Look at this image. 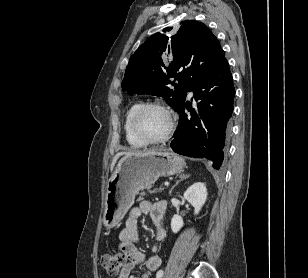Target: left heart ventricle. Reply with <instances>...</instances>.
<instances>
[{"label": "left heart ventricle", "mask_w": 308, "mask_h": 278, "mask_svg": "<svg viewBox=\"0 0 308 278\" xmlns=\"http://www.w3.org/2000/svg\"><path fill=\"white\" fill-rule=\"evenodd\" d=\"M139 126L147 136L160 138L169 127V118L163 110L152 108L144 112L140 117Z\"/></svg>", "instance_id": "1"}]
</instances>
